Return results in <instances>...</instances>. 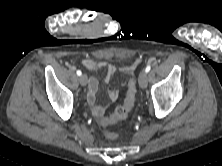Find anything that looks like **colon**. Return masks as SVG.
Here are the masks:
<instances>
[{
	"label": "colon",
	"mask_w": 222,
	"mask_h": 166,
	"mask_svg": "<svg viewBox=\"0 0 222 166\" xmlns=\"http://www.w3.org/2000/svg\"><path fill=\"white\" fill-rule=\"evenodd\" d=\"M136 92V80L134 78H131L128 82L127 93L123 104L117 107L110 116L103 118L100 122L101 126L106 128L111 124L125 119L134 106ZM106 136L109 139H115L117 137V134L112 131H106Z\"/></svg>",
	"instance_id": "5ec220e1"
}]
</instances>
